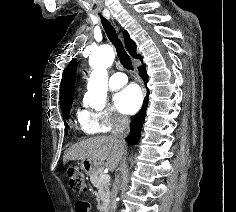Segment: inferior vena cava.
Returning a JSON list of instances; mask_svg holds the SVG:
<instances>
[{"mask_svg":"<svg viewBox=\"0 0 236 212\" xmlns=\"http://www.w3.org/2000/svg\"><path fill=\"white\" fill-rule=\"evenodd\" d=\"M130 120L128 117L126 116H119L117 117V119L114 122L113 125V129L111 132V137L118 139L119 141H121L123 143L124 138L129 134V130H130ZM120 184V179L119 176L116 177L115 179V183H114V190L112 192V205L115 208L116 207V196L118 193V186Z\"/></svg>","mask_w":236,"mask_h":212,"instance_id":"inferior-vena-cava-1","label":"inferior vena cava"}]
</instances>
